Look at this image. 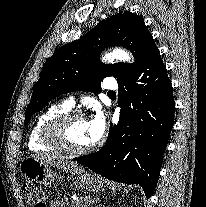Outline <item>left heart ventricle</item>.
<instances>
[{
	"label": "left heart ventricle",
	"instance_id": "obj_1",
	"mask_svg": "<svg viewBox=\"0 0 206 207\" xmlns=\"http://www.w3.org/2000/svg\"><path fill=\"white\" fill-rule=\"evenodd\" d=\"M61 135L64 143L74 150L83 149L92 144L88 121H71L62 128Z\"/></svg>",
	"mask_w": 206,
	"mask_h": 207
}]
</instances>
